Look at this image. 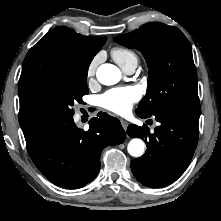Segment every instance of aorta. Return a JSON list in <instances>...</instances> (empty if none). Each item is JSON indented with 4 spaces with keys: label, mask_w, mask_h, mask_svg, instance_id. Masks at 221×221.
<instances>
[{
    "label": "aorta",
    "mask_w": 221,
    "mask_h": 221,
    "mask_svg": "<svg viewBox=\"0 0 221 221\" xmlns=\"http://www.w3.org/2000/svg\"><path fill=\"white\" fill-rule=\"evenodd\" d=\"M97 79L104 85H114L121 77L120 70L112 64H102L98 67L96 73ZM128 153L134 157H140L144 153L145 144L139 138L132 139L128 144Z\"/></svg>",
    "instance_id": "aorta-1"
}]
</instances>
